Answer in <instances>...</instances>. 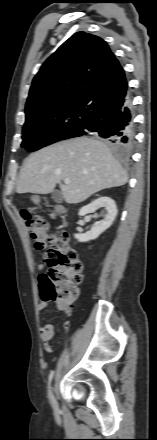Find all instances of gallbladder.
I'll list each match as a JSON object with an SVG mask.
<instances>
[{"label": "gallbladder", "instance_id": "1", "mask_svg": "<svg viewBox=\"0 0 157 440\" xmlns=\"http://www.w3.org/2000/svg\"><path fill=\"white\" fill-rule=\"evenodd\" d=\"M52 199L56 202H61L63 200V196L59 190H55L52 192Z\"/></svg>", "mask_w": 157, "mask_h": 440}]
</instances>
